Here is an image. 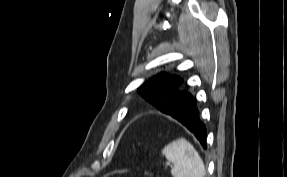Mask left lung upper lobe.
I'll return each instance as SVG.
<instances>
[{"label": "left lung upper lobe", "mask_w": 287, "mask_h": 177, "mask_svg": "<svg viewBox=\"0 0 287 177\" xmlns=\"http://www.w3.org/2000/svg\"><path fill=\"white\" fill-rule=\"evenodd\" d=\"M182 82L177 75L169 76L166 72H161L147 80L137 91L160 111L169 114L173 107L171 99L183 92L180 89Z\"/></svg>", "instance_id": "1"}]
</instances>
